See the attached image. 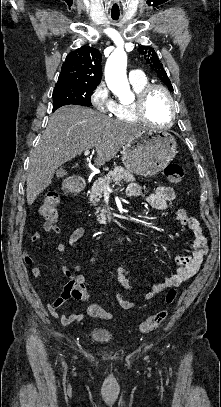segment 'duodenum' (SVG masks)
Here are the masks:
<instances>
[{
    "mask_svg": "<svg viewBox=\"0 0 221 407\" xmlns=\"http://www.w3.org/2000/svg\"><path fill=\"white\" fill-rule=\"evenodd\" d=\"M84 183H70L65 186L64 192L67 195H72L74 193H77L81 191L84 188Z\"/></svg>",
    "mask_w": 221,
    "mask_h": 407,
    "instance_id": "1",
    "label": "duodenum"
}]
</instances>
